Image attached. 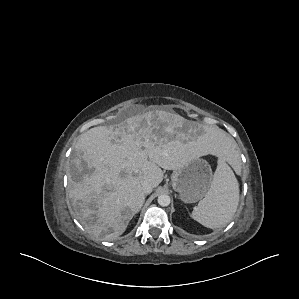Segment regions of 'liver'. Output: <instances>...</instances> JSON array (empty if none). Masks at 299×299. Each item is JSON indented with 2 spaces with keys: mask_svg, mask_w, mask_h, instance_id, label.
Returning a JSON list of instances; mask_svg holds the SVG:
<instances>
[{
  "mask_svg": "<svg viewBox=\"0 0 299 299\" xmlns=\"http://www.w3.org/2000/svg\"><path fill=\"white\" fill-rule=\"evenodd\" d=\"M185 124L180 115L150 111L80 136L68 173V192L75 216L88 233L117 239L145 201L142 181L156 188L163 180L162 169L175 171L207 154L224 155L233 145L221 129L192 136ZM83 170L75 181L73 173Z\"/></svg>",
  "mask_w": 299,
  "mask_h": 299,
  "instance_id": "1",
  "label": "liver"
}]
</instances>
